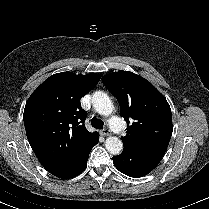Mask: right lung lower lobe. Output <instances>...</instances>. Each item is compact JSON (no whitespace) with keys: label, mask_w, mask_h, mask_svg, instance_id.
I'll return each instance as SVG.
<instances>
[{"label":"right lung lower lobe","mask_w":209,"mask_h":209,"mask_svg":"<svg viewBox=\"0 0 209 209\" xmlns=\"http://www.w3.org/2000/svg\"><path fill=\"white\" fill-rule=\"evenodd\" d=\"M98 142L99 138L98 136H96L92 140V142L84 149V151L81 153L78 159L66 171H64L57 177L69 179L81 174L87 166V160L92 147L96 145Z\"/></svg>","instance_id":"98d812e1"}]
</instances>
